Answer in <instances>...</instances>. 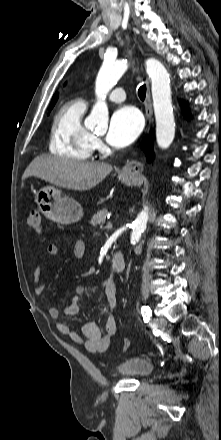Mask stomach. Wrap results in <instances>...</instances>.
Returning a JSON list of instances; mask_svg holds the SVG:
<instances>
[{"label": "stomach", "mask_w": 221, "mask_h": 440, "mask_svg": "<svg viewBox=\"0 0 221 440\" xmlns=\"http://www.w3.org/2000/svg\"><path fill=\"white\" fill-rule=\"evenodd\" d=\"M120 178L126 185L133 186L137 184L139 177L132 172L122 171ZM35 198L41 213L59 224L77 222L83 216L81 205L76 200L64 196L60 189L52 185L42 187Z\"/></svg>", "instance_id": "obj_1"}]
</instances>
